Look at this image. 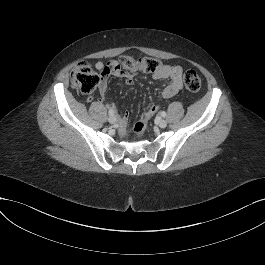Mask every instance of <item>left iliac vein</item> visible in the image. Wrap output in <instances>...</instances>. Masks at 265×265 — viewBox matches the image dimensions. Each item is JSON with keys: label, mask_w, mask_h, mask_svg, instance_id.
<instances>
[{"label": "left iliac vein", "mask_w": 265, "mask_h": 265, "mask_svg": "<svg viewBox=\"0 0 265 265\" xmlns=\"http://www.w3.org/2000/svg\"><path fill=\"white\" fill-rule=\"evenodd\" d=\"M158 126L160 128H165L167 126V122L164 119H159Z\"/></svg>", "instance_id": "obj_1"}]
</instances>
